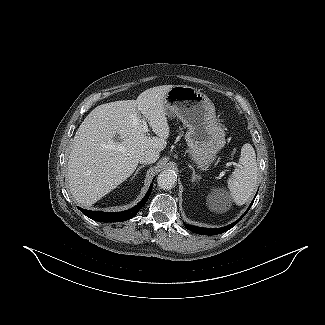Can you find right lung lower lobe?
I'll return each instance as SVG.
<instances>
[{"mask_svg":"<svg viewBox=\"0 0 325 325\" xmlns=\"http://www.w3.org/2000/svg\"><path fill=\"white\" fill-rule=\"evenodd\" d=\"M151 190L152 186H150L148 192L146 193L145 197L141 200V202H139L135 207L122 212L106 213L102 211H90L81 209L79 207L78 208L83 214L95 221L121 222L133 218L138 213V211L145 205L146 201L148 200Z\"/></svg>","mask_w":325,"mask_h":325,"instance_id":"1","label":"right lung lower lobe"}]
</instances>
